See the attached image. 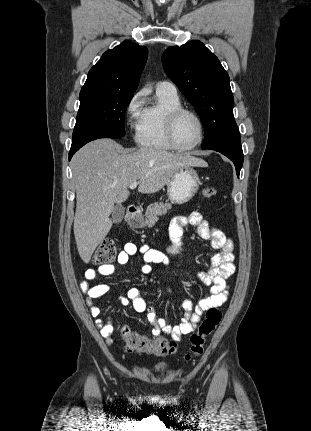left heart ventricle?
Returning <instances> with one entry per match:
<instances>
[{"label": "left heart ventricle", "mask_w": 311, "mask_h": 431, "mask_svg": "<svg viewBox=\"0 0 311 431\" xmlns=\"http://www.w3.org/2000/svg\"><path fill=\"white\" fill-rule=\"evenodd\" d=\"M201 135V126L198 119L192 114H184L176 126V138L183 147L195 144Z\"/></svg>", "instance_id": "obj_1"}]
</instances>
